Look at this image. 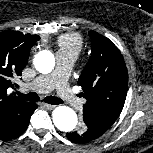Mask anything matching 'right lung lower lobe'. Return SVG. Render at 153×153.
<instances>
[{
	"instance_id": "98d812e1",
	"label": "right lung lower lobe",
	"mask_w": 153,
	"mask_h": 153,
	"mask_svg": "<svg viewBox=\"0 0 153 153\" xmlns=\"http://www.w3.org/2000/svg\"><path fill=\"white\" fill-rule=\"evenodd\" d=\"M37 109V104L30 103L26 109L12 118L5 129L0 131L1 140H9L21 135L28 127L31 115Z\"/></svg>"
}]
</instances>
